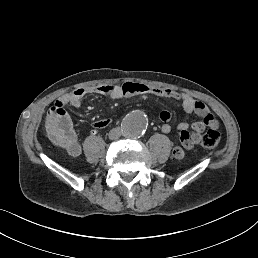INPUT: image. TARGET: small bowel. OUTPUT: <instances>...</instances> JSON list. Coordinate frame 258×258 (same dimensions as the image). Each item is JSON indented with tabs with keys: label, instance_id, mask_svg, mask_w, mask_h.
Here are the masks:
<instances>
[{
	"label": "small bowel",
	"instance_id": "1",
	"mask_svg": "<svg viewBox=\"0 0 258 258\" xmlns=\"http://www.w3.org/2000/svg\"><path fill=\"white\" fill-rule=\"evenodd\" d=\"M89 94L106 95L112 99H120L139 94H152L158 97L173 98L180 101L186 114H195L201 120L193 123L191 127L185 121L178 123L176 126L181 143V146H175L173 148V155L177 159L184 157L185 150H190L199 144L202 133L207 127H218L217 119L210 113L209 108L202 101L180 91L135 82L78 88L56 100L48 110L46 117V131L50 140L54 145L66 151L72 157L80 156L82 148L77 133L73 129L66 112V107L72 106L79 108L83 98ZM171 118L172 114L169 111H161L160 119L163 121L161 130L165 134L170 133L172 130L169 124ZM111 122V118L95 120L92 123L93 133L107 127Z\"/></svg>",
	"mask_w": 258,
	"mask_h": 258
}]
</instances>
